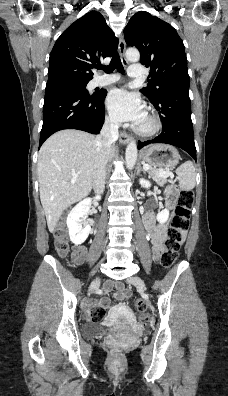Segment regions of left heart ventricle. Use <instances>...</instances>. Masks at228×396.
<instances>
[{
	"mask_svg": "<svg viewBox=\"0 0 228 396\" xmlns=\"http://www.w3.org/2000/svg\"><path fill=\"white\" fill-rule=\"evenodd\" d=\"M139 126L143 127V128H147L150 126V120L147 117V115H145L144 119L142 120V122L139 124Z\"/></svg>",
	"mask_w": 228,
	"mask_h": 396,
	"instance_id": "obj_1",
	"label": "left heart ventricle"
}]
</instances>
